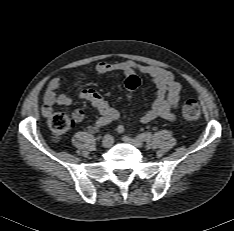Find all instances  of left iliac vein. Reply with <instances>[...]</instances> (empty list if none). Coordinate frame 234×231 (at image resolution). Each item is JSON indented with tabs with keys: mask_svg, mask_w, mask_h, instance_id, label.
Here are the masks:
<instances>
[{
	"mask_svg": "<svg viewBox=\"0 0 234 231\" xmlns=\"http://www.w3.org/2000/svg\"><path fill=\"white\" fill-rule=\"evenodd\" d=\"M122 140L137 147V148L143 147L142 141L137 139V138H131L129 136L124 135V136H122Z\"/></svg>",
	"mask_w": 234,
	"mask_h": 231,
	"instance_id": "1",
	"label": "left iliac vein"
}]
</instances>
